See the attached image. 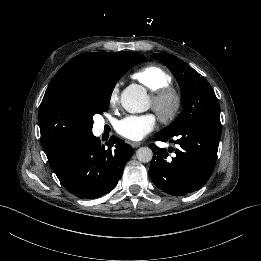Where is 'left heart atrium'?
Wrapping results in <instances>:
<instances>
[{"mask_svg": "<svg viewBox=\"0 0 261 261\" xmlns=\"http://www.w3.org/2000/svg\"><path fill=\"white\" fill-rule=\"evenodd\" d=\"M156 127V118L152 114L128 115L115 124V131L130 141H140Z\"/></svg>", "mask_w": 261, "mask_h": 261, "instance_id": "39dd6f15", "label": "left heart atrium"}]
</instances>
